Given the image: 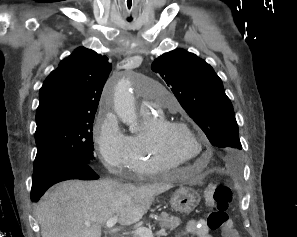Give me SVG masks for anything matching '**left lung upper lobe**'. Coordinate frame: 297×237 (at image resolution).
Segmentation results:
<instances>
[{
	"label": "left lung upper lobe",
	"instance_id": "obj_1",
	"mask_svg": "<svg viewBox=\"0 0 297 237\" xmlns=\"http://www.w3.org/2000/svg\"><path fill=\"white\" fill-rule=\"evenodd\" d=\"M171 87L181 106L219 147L227 161L236 160L242 149L233 106L221 79L195 54L174 50L158 57L151 66Z\"/></svg>",
	"mask_w": 297,
	"mask_h": 237
}]
</instances>
